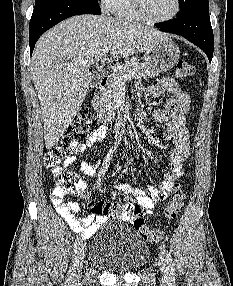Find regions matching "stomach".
<instances>
[{
	"instance_id": "stomach-1",
	"label": "stomach",
	"mask_w": 233,
	"mask_h": 286,
	"mask_svg": "<svg viewBox=\"0 0 233 286\" xmlns=\"http://www.w3.org/2000/svg\"><path fill=\"white\" fill-rule=\"evenodd\" d=\"M145 64L160 73L174 67L180 57L178 46L170 39L159 41L145 51Z\"/></svg>"
}]
</instances>
